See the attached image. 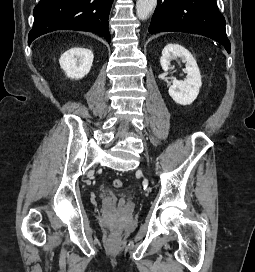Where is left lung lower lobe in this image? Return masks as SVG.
<instances>
[{
	"label": "left lung lower lobe",
	"mask_w": 255,
	"mask_h": 272,
	"mask_svg": "<svg viewBox=\"0 0 255 272\" xmlns=\"http://www.w3.org/2000/svg\"><path fill=\"white\" fill-rule=\"evenodd\" d=\"M186 32L209 37L230 53L225 32V19L216 0H158L149 33Z\"/></svg>",
	"instance_id": "left-lung-lower-lobe-1"
}]
</instances>
